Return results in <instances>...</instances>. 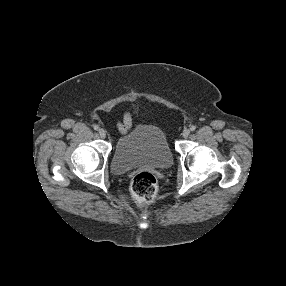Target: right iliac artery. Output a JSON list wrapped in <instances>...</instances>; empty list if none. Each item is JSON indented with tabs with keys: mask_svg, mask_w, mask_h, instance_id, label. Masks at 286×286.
<instances>
[{
	"mask_svg": "<svg viewBox=\"0 0 286 286\" xmlns=\"http://www.w3.org/2000/svg\"><path fill=\"white\" fill-rule=\"evenodd\" d=\"M94 130L98 131L99 130V126L95 125L94 126Z\"/></svg>",
	"mask_w": 286,
	"mask_h": 286,
	"instance_id": "obj_1",
	"label": "right iliac artery"
}]
</instances>
